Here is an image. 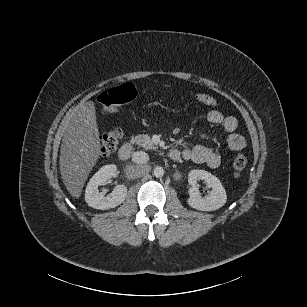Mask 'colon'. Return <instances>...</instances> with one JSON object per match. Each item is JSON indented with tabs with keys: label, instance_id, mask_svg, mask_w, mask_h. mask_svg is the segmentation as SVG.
Here are the masks:
<instances>
[{
	"label": "colon",
	"instance_id": "colon-1",
	"mask_svg": "<svg viewBox=\"0 0 307 307\" xmlns=\"http://www.w3.org/2000/svg\"><path fill=\"white\" fill-rule=\"evenodd\" d=\"M137 92L132 84L125 83L102 92L98 98L100 111L104 115L114 113L121 105L131 103L135 100ZM191 97L196 102L207 106H216L217 100L208 94L194 93ZM122 132L119 129L111 130L100 138V151L102 156L112 154L120 144ZM247 165V159L242 153H238L233 160V175L239 178Z\"/></svg>",
	"mask_w": 307,
	"mask_h": 307
}]
</instances>
